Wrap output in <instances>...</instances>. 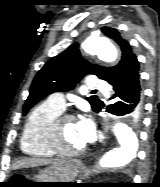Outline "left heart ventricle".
Listing matches in <instances>:
<instances>
[{
  "label": "left heart ventricle",
  "mask_w": 160,
  "mask_h": 187,
  "mask_svg": "<svg viewBox=\"0 0 160 187\" xmlns=\"http://www.w3.org/2000/svg\"><path fill=\"white\" fill-rule=\"evenodd\" d=\"M62 138L64 147L70 151L81 149L86 144L79 134L77 121L75 120H67L63 122Z\"/></svg>",
  "instance_id": "b2bd125f"
}]
</instances>
